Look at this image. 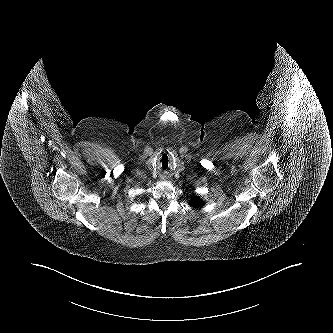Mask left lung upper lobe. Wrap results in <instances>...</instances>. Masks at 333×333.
Here are the masks:
<instances>
[{
	"label": "left lung upper lobe",
	"instance_id": "1",
	"mask_svg": "<svg viewBox=\"0 0 333 333\" xmlns=\"http://www.w3.org/2000/svg\"><path fill=\"white\" fill-rule=\"evenodd\" d=\"M190 205L195 207V208H198V207H202L204 205V202L201 201L199 198L197 197H193L190 201Z\"/></svg>",
	"mask_w": 333,
	"mask_h": 333
}]
</instances>
